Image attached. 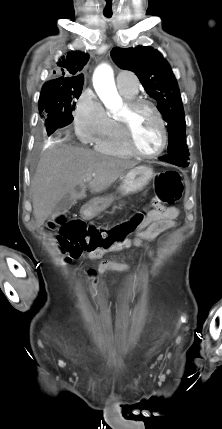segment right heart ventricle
Instances as JSON below:
<instances>
[{
	"mask_svg": "<svg viewBox=\"0 0 222 429\" xmlns=\"http://www.w3.org/2000/svg\"><path fill=\"white\" fill-rule=\"evenodd\" d=\"M122 95L129 100L134 98L136 94L122 93ZM95 148L99 152L112 156H132V153L124 144L120 125L115 117H109L108 127L105 133L95 142Z\"/></svg>",
	"mask_w": 222,
	"mask_h": 429,
	"instance_id": "right-heart-ventricle-1",
	"label": "right heart ventricle"
}]
</instances>
